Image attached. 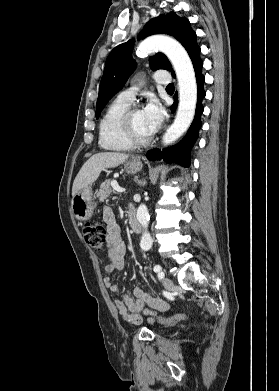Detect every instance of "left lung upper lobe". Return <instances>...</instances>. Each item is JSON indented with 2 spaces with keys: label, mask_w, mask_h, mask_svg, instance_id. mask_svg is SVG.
Returning <instances> with one entry per match:
<instances>
[{
  "label": "left lung upper lobe",
  "mask_w": 279,
  "mask_h": 391,
  "mask_svg": "<svg viewBox=\"0 0 279 391\" xmlns=\"http://www.w3.org/2000/svg\"><path fill=\"white\" fill-rule=\"evenodd\" d=\"M153 34H168L175 37L185 47L190 57L199 47L196 43V33L191 28L188 19L179 17L174 12L167 15L161 14L151 19L138 35V39ZM133 45L134 39H131L115 47L109 54L100 82L96 118L100 116L107 102L122 89L128 77L135 70L136 64L132 59ZM150 67L152 70H171L168 58L162 53H157L150 58ZM172 75L174 76L173 71Z\"/></svg>",
  "instance_id": "1"
}]
</instances>
